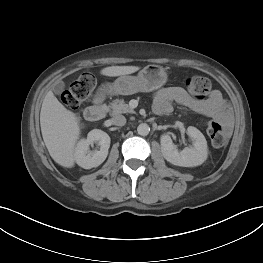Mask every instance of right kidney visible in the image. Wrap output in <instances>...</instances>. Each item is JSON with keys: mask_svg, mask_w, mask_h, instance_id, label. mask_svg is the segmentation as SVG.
<instances>
[{"mask_svg": "<svg viewBox=\"0 0 263 263\" xmlns=\"http://www.w3.org/2000/svg\"><path fill=\"white\" fill-rule=\"evenodd\" d=\"M93 143H97L100 146V150L90 152L89 146ZM109 147V135L102 130L93 129L88 133L86 139H81L77 143L74 153L75 161L84 169L97 167L106 159Z\"/></svg>", "mask_w": 263, "mask_h": 263, "instance_id": "1", "label": "right kidney"}]
</instances>
